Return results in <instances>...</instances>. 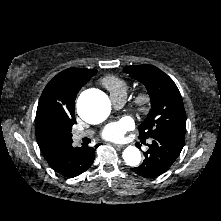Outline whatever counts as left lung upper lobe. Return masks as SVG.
Segmentation results:
<instances>
[{
  "instance_id": "5c2ea615",
  "label": "left lung upper lobe",
  "mask_w": 221,
  "mask_h": 221,
  "mask_svg": "<svg viewBox=\"0 0 221 221\" xmlns=\"http://www.w3.org/2000/svg\"><path fill=\"white\" fill-rule=\"evenodd\" d=\"M123 70L143 83L151 98V110L139 126V138L148 139L158 134L185 135V109L174 81L152 65L126 66Z\"/></svg>"
}]
</instances>
